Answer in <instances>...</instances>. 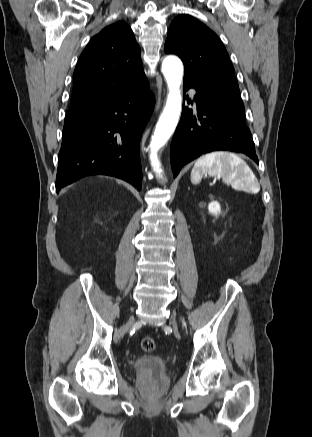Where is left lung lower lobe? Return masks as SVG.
Returning a JSON list of instances; mask_svg holds the SVG:
<instances>
[{"label": "left lung lower lobe", "instance_id": "obj_1", "mask_svg": "<svg viewBox=\"0 0 312 437\" xmlns=\"http://www.w3.org/2000/svg\"><path fill=\"white\" fill-rule=\"evenodd\" d=\"M196 89L184 81V93ZM188 97V96H187ZM197 115L183 106L180 122L171 143V166L176 177L182 166L200 155L229 150L244 153L257 164L255 145L245 120L225 102L196 89Z\"/></svg>", "mask_w": 312, "mask_h": 437}]
</instances>
